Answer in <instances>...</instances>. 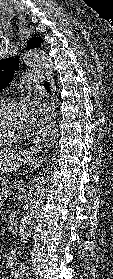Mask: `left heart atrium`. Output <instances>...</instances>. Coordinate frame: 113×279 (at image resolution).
<instances>
[{"mask_svg":"<svg viewBox=\"0 0 113 279\" xmlns=\"http://www.w3.org/2000/svg\"><path fill=\"white\" fill-rule=\"evenodd\" d=\"M23 117L27 127V130L35 128L41 118L42 110L34 100H27L22 106Z\"/></svg>","mask_w":113,"mask_h":279,"instance_id":"1","label":"left heart atrium"}]
</instances>
